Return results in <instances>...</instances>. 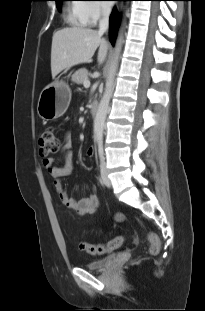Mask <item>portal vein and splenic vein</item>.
<instances>
[{"instance_id": "18ae733b", "label": "portal vein and splenic vein", "mask_w": 205, "mask_h": 311, "mask_svg": "<svg viewBox=\"0 0 205 311\" xmlns=\"http://www.w3.org/2000/svg\"><path fill=\"white\" fill-rule=\"evenodd\" d=\"M85 88H89L90 87V81L89 80H85L83 83Z\"/></svg>"}]
</instances>
